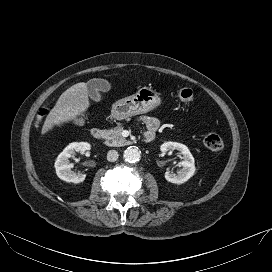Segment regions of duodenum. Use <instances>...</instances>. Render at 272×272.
Instances as JSON below:
<instances>
[{
	"mask_svg": "<svg viewBox=\"0 0 272 272\" xmlns=\"http://www.w3.org/2000/svg\"><path fill=\"white\" fill-rule=\"evenodd\" d=\"M91 136L95 140H101L105 137V131L101 128H93L91 130ZM155 137V133L151 132L145 135V142H151Z\"/></svg>",
	"mask_w": 272,
	"mask_h": 272,
	"instance_id": "duodenum-1",
	"label": "duodenum"
}]
</instances>
